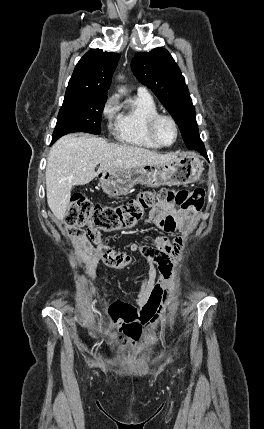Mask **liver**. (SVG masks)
<instances>
[{
  "label": "liver",
  "instance_id": "liver-1",
  "mask_svg": "<svg viewBox=\"0 0 264 429\" xmlns=\"http://www.w3.org/2000/svg\"><path fill=\"white\" fill-rule=\"evenodd\" d=\"M175 158L176 153L159 154L136 146L108 143L99 137L65 135L52 146L47 160L48 206L57 219L63 220L72 186L88 184L105 170L164 164Z\"/></svg>",
  "mask_w": 264,
  "mask_h": 429
}]
</instances>
